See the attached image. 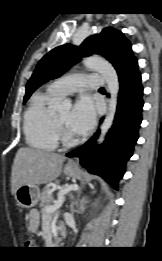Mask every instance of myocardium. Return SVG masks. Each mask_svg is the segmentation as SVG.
<instances>
[{"mask_svg": "<svg viewBox=\"0 0 162 261\" xmlns=\"http://www.w3.org/2000/svg\"><path fill=\"white\" fill-rule=\"evenodd\" d=\"M53 126L59 142L65 146H72L76 143V139L71 136L62 124L58 121L56 114H53Z\"/></svg>", "mask_w": 162, "mask_h": 261, "instance_id": "f54148a6", "label": "myocardium"}]
</instances>
